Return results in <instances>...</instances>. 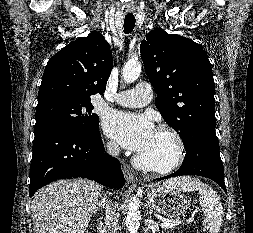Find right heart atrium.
<instances>
[{
  "instance_id": "right-heart-atrium-1",
  "label": "right heart atrium",
  "mask_w": 253,
  "mask_h": 233,
  "mask_svg": "<svg viewBox=\"0 0 253 233\" xmlns=\"http://www.w3.org/2000/svg\"><path fill=\"white\" fill-rule=\"evenodd\" d=\"M107 149H108V151H109L110 153H116L117 150H118V146L116 145L115 142L109 141V142L107 143Z\"/></svg>"
}]
</instances>
